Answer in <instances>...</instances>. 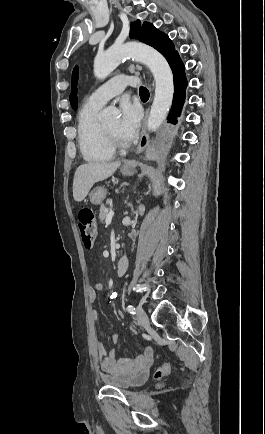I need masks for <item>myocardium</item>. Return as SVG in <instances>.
<instances>
[{
    "instance_id": "myocardium-1",
    "label": "myocardium",
    "mask_w": 265,
    "mask_h": 434,
    "mask_svg": "<svg viewBox=\"0 0 265 434\" xmlns=\"http://www.w3.org/2000/svg\"><path fill=\"white\" fill-rule=\"evenodd\" d=\"M105 130L108 134V137L110 139V142L113 147L119 148L121 150H124L128 147V145L124 142H122L116 134H114L106 125H104Z\"/></svg>"
}]
</instances>
